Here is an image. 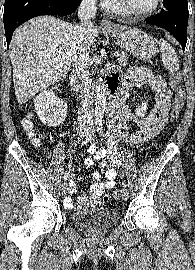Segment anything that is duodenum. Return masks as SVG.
Here are the masks:
<instances>
[{"label": "duodenum", "mask_w": 195, "mask_h": 270, "mask_svg": "<svg viewBox=\"0 0 195 270\" xmlns=\"http://www.w3.org/2000/svg\"><path fill=\"white\" fill-rule=\"evenodd\" d=\"M71 84H72L73 90L78 92V93H82V91L84 90V83L80 79L77 72H74L72 74V76H71ZM106 88H107V93L109 95L111 104H113L117 99V84L110 77L107 78Z\"/></svg>", "instance_id": "obj_1"}]
</instances>
